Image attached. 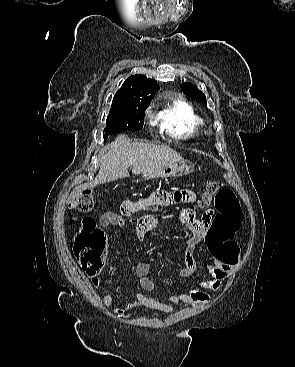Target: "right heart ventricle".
Listing matches in <instances>:
<instances>
[{
  "mask_svg": "<svg viewBox=\"0 0 295 367\" xmlns=\"http://www.w3.org/2000/svg\"><path fill=\"white\" fill-rule=\"evenodd\" d=\"M156 123L172 137L186 139L200 135L205 120L190 103L178 100L157 114Z\"/></svg>",
  "mask_w": 295,
  "mask_h": 367,
  "instance_id": "1",
  "label": "right heart ventricle"
}]
</instances>
